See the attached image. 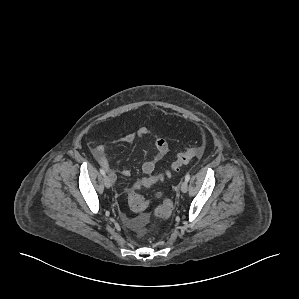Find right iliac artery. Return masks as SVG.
Here are the masks:
<instances>
[{"label":"right iliac artery","instance_id":"right-iliac-artery-1","mask_svg":"<svg viewBox=\"0 0 299 299\" xmlns=\"http://www.w3.org/2000/svg\"><path fill=\"white\" fill-rule=\"evenodd\" d=\"M100 173L102 174V175H105V171H104V169H100Z\"/></svg>","mask_w":299,"mask_h":299}]
</instances>
